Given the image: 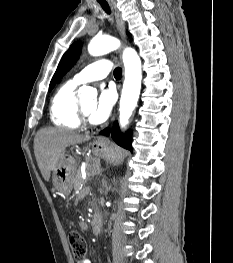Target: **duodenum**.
Listing matches in <instances>:
<instances>
[{"label":"duodenum","instance_id":"duodenum-1","mask_svg":"<svg viewBox=\"0 0 233 263\" xmlns=\"http://www.w3.org/2000/svg\"><path fill=\"white\" fill-rule=\"evenodd\" d=\"M91 227L94 234L98 235L102 228V219L99 213H94L91 220Z\"/></svg>","mask_w":233,"mask_h":263}]
</instances>
